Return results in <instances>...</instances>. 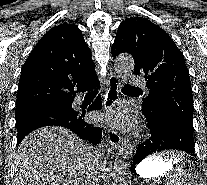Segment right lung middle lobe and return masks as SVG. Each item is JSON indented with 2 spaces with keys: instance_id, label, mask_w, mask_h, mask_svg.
Listing matches in <instances>:
<instances>
[{
  "instance_id": "dd1d6c3e",
  "label": "right lung middle lobe",
  "mask_w": 207,
  "mask_h": 185,
  "mask_svg": "<svg viewBox=\"0 0 207 185\" xmlns=\"http://www.w3.org/2000/svg\"><path fill=\"white\" fill-rule=\"evenodd\" d=\"M73 108L70 104L67 103H61V104H52L44 107H39V108H33V109H28V110H23V111H16L15 118H16V124L35 117L39 115H48L51 113H56V112H68L72 111Z\"/></svg>"
}]
</instances>
